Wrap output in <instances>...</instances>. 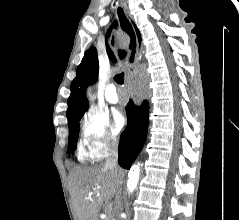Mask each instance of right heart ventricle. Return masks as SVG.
<instances>
[{
	"label": "right heart ventricle",
	"instance_id": "e07e8e85",
	"mask_svg": "<svg viewBox=\"0 0 239 220\" xmlns=\"http://www.w3.org/2000/svg\"><path fill=\"white\" fill-rule=\"evenodd\" d=\"M78 158L81 161H83V160L88 158V154H87L85 148L82 147V146L78 149Z\"/></svg>",
	"mask_w": 239,
	"mask_h": 220
}]
</instances>
